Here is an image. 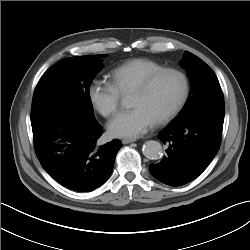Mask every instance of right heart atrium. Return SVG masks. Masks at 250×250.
Instances as JSON below:
<instances>
[{
	"label": "right heart atrium",
	"instance_id": "obj_1",
	"mask_svg": "<svg viewBox=\"0 0 250 250\" xmlns=\"http://www.w3.org/2000/svg\"><path fill=\"white\" fill-rule=\"evenodd\" d=\"M88 99L93 108L104 117L117 113L120 93L110 81L94 80L88 87Z\"/></svg>",
	"mask_w": 250,
	"mask_h": 250
}]
</instances>
